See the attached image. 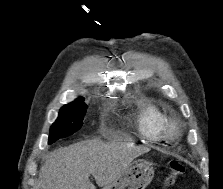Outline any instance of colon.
I'll return each mask as SVG.
<instances>
[{
    "instance_id": "1",
    "label": "colon",
    "mask_w": 223,
    "mask_h": 189,
    "mask_svg": "<svg viewBox=\"0 0 223 189\" xmlns=\"http://www.w3.org/2000/svg\"><path fill=\"white\" fill-rule=\"evenodd\" d=\"M186 172V167L180 161L171 160L169 163V172L164 180V188L172 186L177 178Z\"/></svg>"
}]
</instances>
